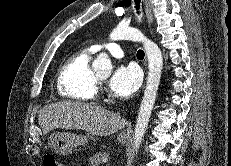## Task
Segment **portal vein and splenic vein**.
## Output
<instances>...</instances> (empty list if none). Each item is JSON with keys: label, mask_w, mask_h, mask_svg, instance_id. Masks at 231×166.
Here are the masks:
<instances>
[{"label": "portal vein and splenic vein", "mask_w": 231, "mask_h": 166, "mask_svg": "<svg viewBox=\"0 0 231 166\" xmlns=\"http://www.w3.org/2000/svg\"><path fill=\"white\" fill-rule=\"evenodd\" d=\"M102 162H103V163H107V162H108V159H107V158H104V159L102 160Z\"/></svg>", "instance_id": "portal-vein-and-splenic-vein-1"}]
</instances>
